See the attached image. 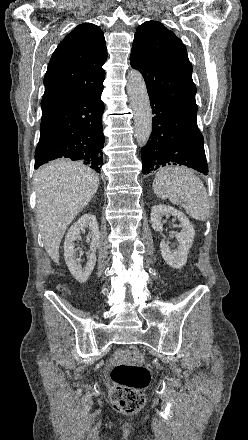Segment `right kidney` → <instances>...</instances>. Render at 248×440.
I'll return each instance as SVG.
<instances>
[{"label":"right kidney","instance_id":"right-kidney-1","mask_svg":"<svg viewBox=\"0 0 248 440\" xmlns=\"http://www.w3.org/2000/svg\"><path fill=\"white\" fill-rule=\"evenodd\" d=\"M89 229L88 236L91 238L90 251L88 256V262L84 268H82L78 261L75 259L74 242L80 237L84 228ZM99 227L97 219L94 215L88 213L84 214L77 222H75L66 234L64 241V258L69 271L74 278L80 283H85L91 275L94 266L96 264V250L99 246Z\"/></svg>","mask_w":248,"mask_h":440}]
</instances>
